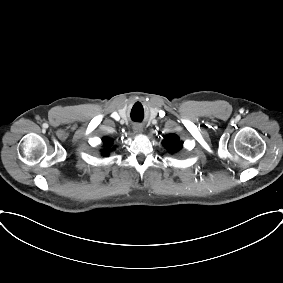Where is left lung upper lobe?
Returning <instances> with one entry per match:
<instances>
[{
  "label": "left lung upper lobe",
  "instance_id": "5c2ea615",
  "mask_svg": "<svg viewBox=\"0 0 283 283\" xmlns=\"http://www.w3.org/2000/svg\"><path fill=\"white\" fill-rule=\"evenodd\" d=\"M164 146L170 151V152H174L179 150L182 147V143L179 141V137L174 135V134H170L167 135L165 140H164Z\"/></svg>",
  "mask_w": 283,
  "mask_h": 283
}]
</instances>
